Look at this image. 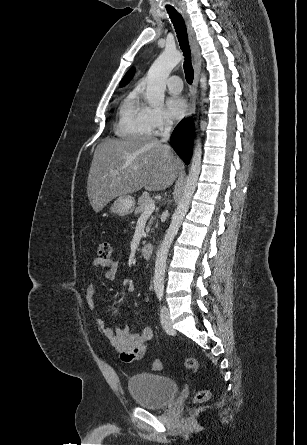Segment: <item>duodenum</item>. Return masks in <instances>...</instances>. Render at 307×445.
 Listing matches in <instances>:
<instances>
[{
  "label": "duodenum",
  "instance_id": "410a0bca",
  "mask_svg": "<svg viewBox=\"0 0 307 445\" xmlns=\"http://www.w3.org/2000/svg\"><path fill=\"white\" fill-rule=\"evenodd\" d=\"M154 246L151 243H145L141 246L140 252L144 258H150L153 253Z\"/></svg>",
  "mask_w": 307,
  "mask_h": 445
}]
</instances>
